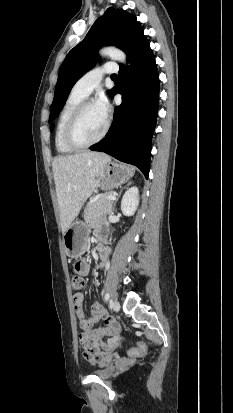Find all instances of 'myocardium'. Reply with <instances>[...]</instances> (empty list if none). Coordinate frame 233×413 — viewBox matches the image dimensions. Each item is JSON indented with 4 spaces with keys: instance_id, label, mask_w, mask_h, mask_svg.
I'll use <instances>...</instances> for the list:
<instances>
[{
    "instance_id": "obj_1",
    "label": "myocardium",
    "mask_w": 233,
    "mask_h": 413,
    "mask_svg": "<svg viewBox=\"0 0 233 413\" xmlns=\"http://www.w3.org/2000/svg\"><path fill=\"white\" fill-rule=\"evenodd\" d=\"M94 104H95V102L93 100L84 99L74 109V111L72 112V114L70 115V117L68 118V120L65 124L64 131H63L64 142L66 143V145H68L70 148H72L74 150L91 147V146L99 143L101 140H103L104 137L106 136V134L108 133V130H109V127H110V122H109L108 119H106V123H105L103 131L94 140H92L90 142L82 143V142H79L75 137V129H76L77 123H78L82 113L85 111V109L87 107H89L91 105H94Z\"/></svg>"
}]
</instances>
